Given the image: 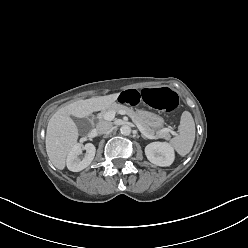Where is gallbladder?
Here are the masks:
<instances>
[{
    "label": "gallbladder",
    "mask_w": 248,
    "mask_h": 248,
    "mask_svg": "<svg viewBox=\"0 0 248 248\" xmlns=\"http://www.w3.org/2000/svg\"><path fill=\"white\" fill-rule=\"evenodd\" d=\"M73 120L81 132H87L89 128V122L86 119L73 118Z\"/></svg>",
    "instance_id": "bac80fb5"
}]
</instances>
